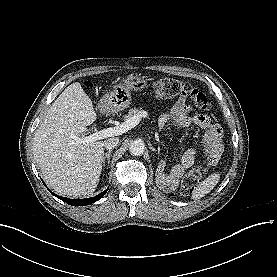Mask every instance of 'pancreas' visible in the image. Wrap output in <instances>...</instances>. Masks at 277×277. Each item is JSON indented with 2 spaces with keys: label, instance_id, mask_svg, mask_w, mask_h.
Returning a JSON list of instances; mask_svg holds the SVG:
<instances>
[{
  "label": "pancreas",
  "instance_id": "cf45deb5",
  "mask_svg": "<svg viewBox=\"0 0 277 277\" xmlns=\"http://www.w3.org/2000/svg\"><path fill=\"white\" fill-rule=\"evenodd\" d=\"M140 112L137 108H132L129 110L128 114L124 116L125 120H128L129 118L133 117L134 115L138 114Z\"/></svg>",
  "mask_w": 277,
  "mask_h": 277
}]
</instances>
